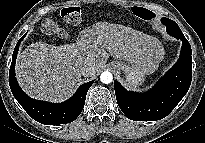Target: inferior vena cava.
<instances>
[{
	"mask_svg": "<svg viewBox=\"0 0 205 143\" xmlns=\"http://www.w3.org/2000/svg\"><path fill=\"white\" fill-rule=\"evenodd\" d=\"M95 67L91 64H85L80 68V73L82 76L90 77L94 75Z\"/></svg>",
	"mask_w": 205,
	"mask_h": 143,
	"instance_id": "602c4592",
	"label": "inferior vena cava"
}]
</instances>
